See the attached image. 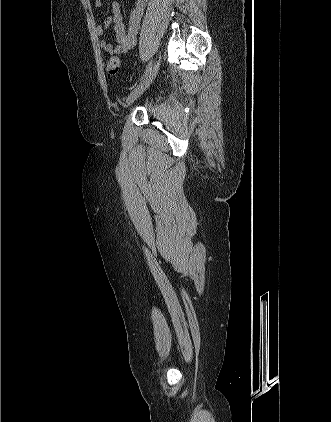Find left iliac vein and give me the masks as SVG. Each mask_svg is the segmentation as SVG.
<instances>
[{
  "instance_id": "1",
  "label": "left iliac vein",
  "mask_w": 331,
  "mask_h": 422,
  "mask_svg": "<svg viewBox=\"0 0 331 422\" xmlns=\"http://www.w3.org/2000/svg\"><path fill=\"white\" fill-rule=\"evenodd\" d=\"M160 67V59L156 60L149 71L144 75L141 82L131 91L127 98V105L132 104L147 88L155 79L158 70Z\"/></svg>"
}]
</instances>
